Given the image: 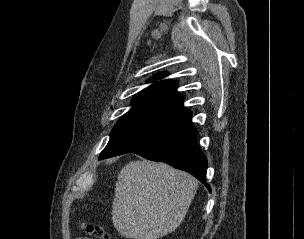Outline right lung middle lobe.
Returning <instances> with one entry per match:
<instances>
[{
    "mask_svg": "<svg viewBox=\"0 0 304 239\" xmlns=\"http://www.w3.org/2000/svg\"><path fill=\"white\" fill-rule=\"evenodd\" d=\"M167 122L168 120L165 118L146 113H126L113 128L110 140L101 152L99 159Z\"/></svg>",
    "mask_w": 304,
    "mask_h": 239,
    "instance_id": "dd1d6c3e",
    "label": "right lung middle lobe"
}]
</instances>
